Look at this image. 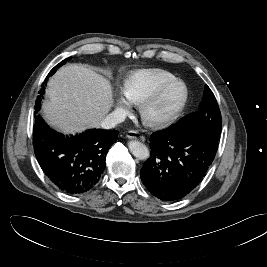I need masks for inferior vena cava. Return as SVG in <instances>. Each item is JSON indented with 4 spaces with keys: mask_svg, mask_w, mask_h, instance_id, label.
<instances>
[{
    "mask_svg": "<svg viewBox=\"0 0 267 267\" xmlns=\"http://www.w3.org/2000/svg\"><path fill=\"white\" fill-rule=\"evenodd\" d=\"M125 120V115L120 111H114L108 114L102 121L101 127L104 129L114 128L117 124L122 123Z\"/></svg>",
    "mask_w": 267,
    "mask_h": 267,
    "instance_id": "1",
    "label": "inferior vena cava"
}]
</instances>
